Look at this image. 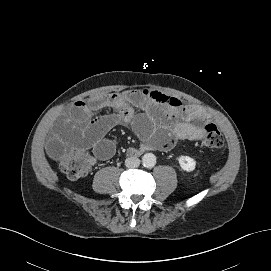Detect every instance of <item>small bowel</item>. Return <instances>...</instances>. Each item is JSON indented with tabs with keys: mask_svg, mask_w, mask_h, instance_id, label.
Here are the masks:
<instances>
[{
	"mask_svg": "<svg viewBox=\"0 0 271 271\" xmlns=\"http://www.w3.org/2000/svg\"><path fill=\"white\" fill-rule=\"evenodd\" d=\"M104 108L111 114L94 117ZM134 108L141 109L136 115ZM195 120L209 121L207 113L196 105H183L175 97L149 89L126 90L112 94H97L87 101H76L67 115L59 118L53 127L48 150L58 157L67 146L91 149L95 159L107 160L116 151L106 134L121 125H131L137 135L152 147L172 148L177 141H201L203 127Z\"/></svg>",
	"mask_w": 271,
	"mask_h": 271,
	"instance_id": "c3829d8e",
	"label": "small bowel"
}]
</instances>
